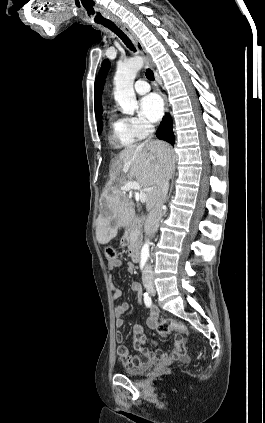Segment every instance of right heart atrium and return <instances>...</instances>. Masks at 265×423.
<instances>
[{
	"label": "right heart atrium",
	"instance_id": "obj_1",
	"mask_svg": "<svg viewBox=\"0 0 265 423\" xmlns=\"http://www.w3.org/2000/svg\"><path fill=\"white\" fill-rule=\"evenodd\" d=\"M130 135L134 140H140L151 134L153 125L140 117H127L124 119Z\"/></svg>",
	"mask_w": 265,
	"mask_h": 423
}]
</instances>
